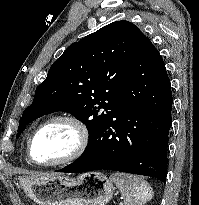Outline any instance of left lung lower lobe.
Returning a JSON list of instances; mask_svg holds the SVG:
<instances>
[{
	"instance_id": "left-lung-lower-lobe-1",
	"label": "left lung lower lobe",
	"mask_w": 199,
	"mask_h": 205,
	"mask_svg": "<svg viewBox=\"0 0 199 205\" xmlns=\"http://www.w3.org/2000/svg\"><path fill=\"white\" fill-rule=\"evenodd\" d=\"M172 103L165 64L145 36L92 146L60 171L114 170L165 182Z\"/></svg>"
}]
</instances>
